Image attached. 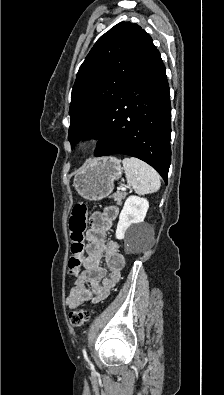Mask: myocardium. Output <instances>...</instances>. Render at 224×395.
Listing matches in <instances>:
<instances>
[{"instance_id":"f54148a6","label":"myocardium","mask_w":224,"mask_h":395,"mask_svg":"<svg viewBox=\"0 0 224 395\" xmlns=\"http://www.w3.org/2000/svg\"><path fill=\"white\" fill-rule=\"evenodd\" d=\"M86 146H87L86 141H83V142L80 144V146H79V150H80V151L85 150Z\"/></svg>"}]
</instances>
